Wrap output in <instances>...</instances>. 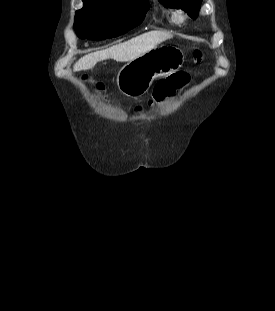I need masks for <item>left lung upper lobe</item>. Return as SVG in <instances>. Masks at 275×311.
<instances>
[{"label":"left lung upper lobe","mask_w":275,"mask_h":311,"mask_svg":"<svg viewBox=\"0 0 275 311\" xmlns=\"http://www.w3.org/2000/svg\"><path fill=\"white\" fill-rule=\"evenodd\" d=\"M169 8H179L195 19L198 15L202 0H159Z\"/></svg>","instance_id":"1"}]
</instances>
